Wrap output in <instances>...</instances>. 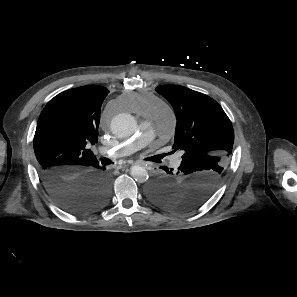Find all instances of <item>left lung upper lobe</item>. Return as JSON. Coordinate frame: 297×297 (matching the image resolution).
<instances>
[{
	"label": "left lung upper lobe",
	"instance_id": "1",
	"mask_svg": "<svg viewBox=\"0 0 297 297\" xmlns=\"http://www.w3.org/2000/svg\"><path fill=\"white\" fill-rule=\"evenodd\" d=\"M155 90L175 111L172 148L184 154L181 171L171 174L170 187L149 189L148 195L165 209L191 211L212 196L224 177L233 148V127L222 107L205 94L176 85H162Z\"/></svg>",
	"mask_w": 297,
	"mask_h": 297
}]
</instances>
